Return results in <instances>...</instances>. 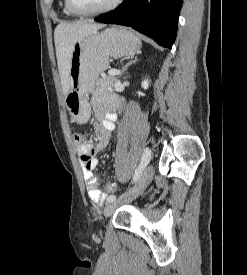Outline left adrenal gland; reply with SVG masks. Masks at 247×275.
I'll return each mask as SVG.
<instances>
[{"label": "left adrenal gland", "instance_id": "left-adrenal-gland-1", "mask_svg": "<svg viewBox=\"0 0 247 275\" xmlns=\"http://www.w3.org/2000/svg\"><path fill=\"white\" fill-rule=\"evenodd\" d=\"M136 61H137V59H135L134 61H130V62L126 63V64L122 67L121 72H120V74H119V77H121V75L123 74V72H124L130 65H132L133 63H135Z\"/></svg>", "mask_w": 247, "mask_h": 275}]
</instances>
